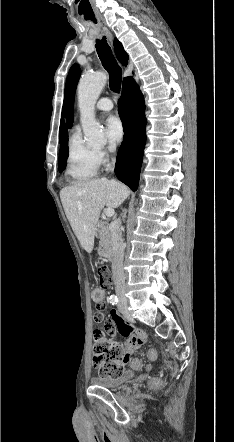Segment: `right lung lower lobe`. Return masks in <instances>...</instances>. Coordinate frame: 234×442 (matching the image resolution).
Segmentation results:
<instances>
[{"label":"right lung lower lobe","mask_w":234,"mask_h":442,"mask_svg":"<svg viewBox=\"0 0 234 442\" xmlns=\"http://www.w3.org/2000/svg\"><path fill=\"white\" fill-rule=\"evenodd\" d=\"M118 109L124 137L117 155L115 174L132 191H136L146 142V119L143 95L132 77L123 81Z\"/></svg>","instance_id":"obj_1"}]
</instances>
